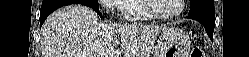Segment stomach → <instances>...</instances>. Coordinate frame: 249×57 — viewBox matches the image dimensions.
Returning a JSON list of instances; mask_svg holds the SVG:
<instances>
[{
  "mask_svg": "<svg viewBox=\"0 0 249 57\" xmlns=\"http://www.w3.org/2000/svg\"><path fill=\"white\" fill-rule=\"evenodd\" d=\"M190 37L180 29H164L154 48L153 57H189Z\"/></svg>",
  "mask_w": 249,
  "mask_h": 57,
  "instance_id": "1",
  "label": "stomach"
}]
</instances>
